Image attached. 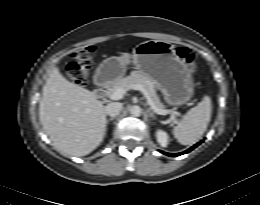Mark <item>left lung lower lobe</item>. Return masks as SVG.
<instances>
[{"instance_id": "0a47b994", "label": "left lung lower lobe", "mask_w": 260, "mask_h": 205, "mask_svg": "<svg viewBox=\"0 0 260 205\" xmlns=\"http://www.w3.org/2000/svg\"><path fill=\"white\" fill-rule=\"evenodd\" d=\"M201 142L197 143L196 145H194L193 147H191L190 149L184 151V152H181V153H166V152H162L163 154L165 155H168V156H172V157H175V156H179V155H182V154H185V153H188L190 152L191 150H193L195 147H197Z\"/></svg>"}]
</instances>
